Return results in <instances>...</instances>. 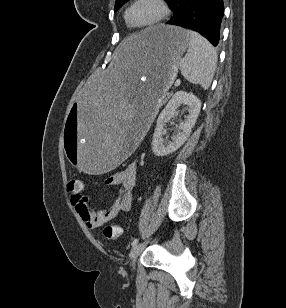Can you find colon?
<instances>
[{"instance_id":"1","label":"colon","mask_w":286,"mask_h":308,"mask_svg":"<svg viewBox=\"0 0 286 308\" xmlns=\"http://www.w3.org/2000/svg\"><path fill=\"white\" fill-rule=\"evenodd\" d=\"M82 188V181L79 179H72L68 183V190L70 192H78ZM122 233L121 227L117 225H107L103 228V236L109 240H116Z\"/></svg>"}]
</instances>
